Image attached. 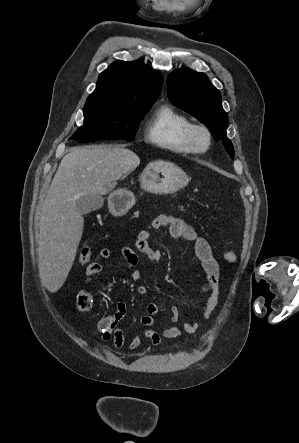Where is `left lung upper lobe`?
<instances>
[{
	"instance_id": "obj_1",
	"label": "left lung upper lobe",
	"mask_w": 299,
	"mask_h": 443,
	"mask_svg": "<svg viewBox=\"0 0 299 443\" xmlns=\"http://www.w3.org/2000/svg\"><path fill=\"white\" fill-rule=\"evenodd\" d=\"M167 92L173 105L205 124L214 140H222L230 157H234L233 145L226 136L228 117L222 107L221 94L203 73L188 68L171 72Z\"/></svg>"
}]
</instances>
